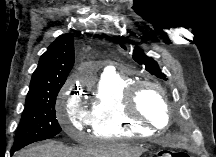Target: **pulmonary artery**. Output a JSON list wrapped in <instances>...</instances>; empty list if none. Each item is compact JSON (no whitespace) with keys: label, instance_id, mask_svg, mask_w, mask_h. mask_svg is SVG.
<instances>
[{"label":"pulmonary artery","instance_id":"1","mask_svg":"<svg viewBox=\"0 0 216 157\" xmlns=\"http://www.w3.org/2000/svg\"><path fill=\"white\" fill-rule=\"evenodd\" d=\"M110 73H113V69L111 67H107L105 68L102 74L104 75V74H110Z\"/></svg>","mask_w":216,"mask_h":157}]
</instances>
